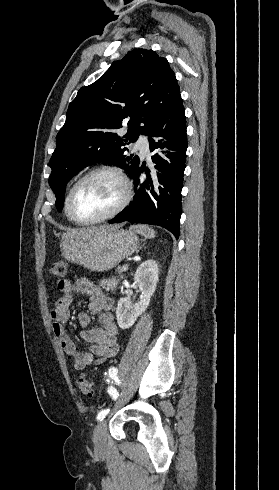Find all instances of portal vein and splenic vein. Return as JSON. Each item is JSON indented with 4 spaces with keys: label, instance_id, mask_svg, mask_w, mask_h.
<instances>
[{
    "label": "portal vein and splenic vein",
    "instance_id": "1",
    "mask_svg": "<svg viewBox=\"0 0 279 490\" xmlns=\"http://www.w3.org/2000/svg\"><path fill=\"white\" fill-rule=\"evenodd\" d=\"M126 270H128V266H123L122 272H126Z\"/></svg>",
    "mask_w": 279,
    "mask_h": 490
}]
</instances>
